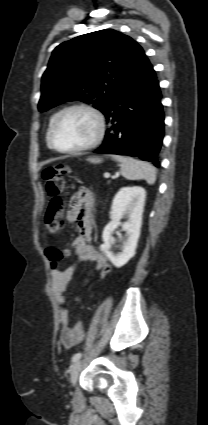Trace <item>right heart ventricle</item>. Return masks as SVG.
<instances>
[{
    "instance_id": "obj_1",
    "label": "right heart ventricle",
    "mask_w": 208,
    "mask_h": 425,
    "mask_svg": "<svg viewBox=\"0 0 208 425\" xmlns=\"http://www.w3.org/2000/svg\"><path fill=\"white\" fill-rule=\"evenodd\" d=\"M55 116H56V115H53V116L51 117V119H50V121H49V124H48L47 133H46L47 143H48L49 129H50V126H51V124H52V122H53V120H54ZM48 145H49V143H48Z\"/></svg>"
}]
</instances>
